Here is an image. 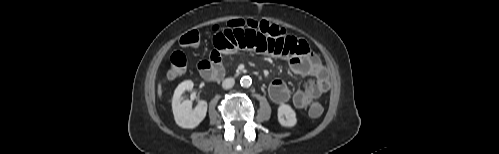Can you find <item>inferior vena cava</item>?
I'll list each match as a JSON object with an SVG mask.
<instances>
[{
  "label": "inferior vena cava",
  "instance_id": "inferior-vena-cava-1",
  "mask_svg": "<svg viewBox=\"0 0 499 154\" xmlns=\"http://www.w3.org/2000/svg\"><path fill=\"white\" fill-rule=\"evenodd\" d=\"M235 84V80L233 78H226L223 82H222V87L224 89H230L234 86Z\"/></svg>",
  "mask_w": 499,
  "mask_h": 154
}]
</instances>
